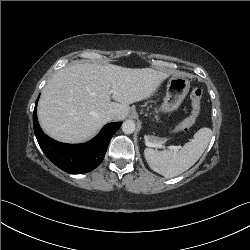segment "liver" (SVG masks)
<instances>
[{
    "instance_id": "liver-1",
    "label": "liver",
    "mask_w": 250,
    "mask_h": 250,
    "mask_svg": "<svg viewBox=\"0 0 250 250\" xmlns=\"http://www.w3.org/2000/svg\"><path fill=\"white\" fill-rule=\"evenodd\" d=\"M172 73L112 64L70 65L57 71L44 87L38 103L39 123L58 141L83 142L110 121L108 112H115L114 120L124 119L129 104L151 97Z\"/></svg>"
}]
</instances>
